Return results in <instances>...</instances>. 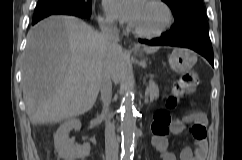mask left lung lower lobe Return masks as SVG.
Here are the masks:
<instances>
[{"label": "left lung lower lobe", "mask_w": 242, "mask_h": 160, "mask_svg": "<svg viewBox=\"0 0 242 160\" xmlns=\"http://www.w3.org/2000/svg\"><path fill=\"white\" fill-rule=\"evenodd\" d=\"M139 41L152 46L167 45L190 48L204 56L214 66L213 50L207 29H193L179 36L164 33L160 38L140 39Z\"/></svg>", "instance_id": "0a47b994"}]
</instances>
